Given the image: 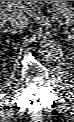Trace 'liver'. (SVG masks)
<instances>
[{
    "label": "liver",
    "mask_w": 74,
    "mask_h": 122,
    "mask_svg": "<svg viewBox=\"0 0 74 122\" xmlns=\"http://www.w3.org/2000/svg\"><path fill=\"white\" fill-rule=\"evenodd\" d=\"M16 12H17L16 10L7 11V12L1 11L0 12L1 25H3L6 21H8V18Z\"/></svg>",
    "instance_id": "1"
}]
</instances>
